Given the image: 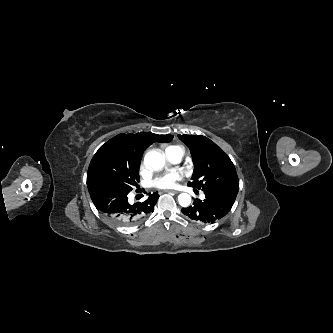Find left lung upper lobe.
Masks as SVG:
<instances>
[{
  "label": "left lung upper lobe",
  "mask_w": 333,
  "mask_h": 333,
  "mask_svg": "<svg viewBox=\"0 0 333 333\" xmlns=\"http://www.w3.org/2000/svg\"><path fill=\"white\" fill-rule=\"evenodd\" d=\"M190 149L194 172L188 185L205 194L237 196L239 180L229 156L202 135H178Z\"/></svg>",
  "instance_id": "obj_1"
}]
</instances>
